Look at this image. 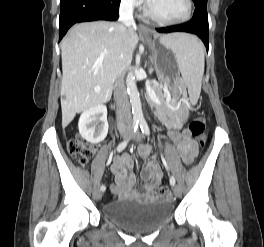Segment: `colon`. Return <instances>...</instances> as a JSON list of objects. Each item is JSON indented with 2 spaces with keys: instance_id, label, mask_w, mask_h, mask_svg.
Returning a JSON list of instances; mask_svg holds the SVG:
<instances>
[{
  "instance_id": "1",
  "label": "colon",
  "mask_w": 264,
  "mask_h": 247,
  "mask_svg": "<svg viewBox=\"0 0 264 247\" xmlns=\"http://www.w3.org/2000/svg\"><path fill=\"white\" fill-rule=\"evenodd\" d=\"M190 132L196 138L198 143L203 146L206 141V120L204 117L195 118L190 124ZM68 150L70 154L81 165H86L94 153L92 146L85 143L83 140L76 138L69 142ZM156 194L159 198H166L170 195L167 187L161 186L157 188Z\"/></svg>"
}]
</instances>
